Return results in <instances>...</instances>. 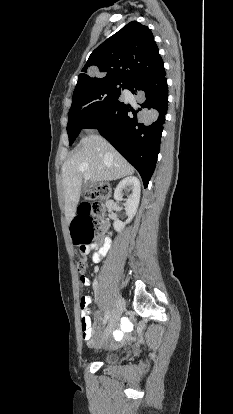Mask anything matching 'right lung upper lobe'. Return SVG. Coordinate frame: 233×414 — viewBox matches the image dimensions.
Returning <instances> with one entry per match:
<instances>
[{
	"mask_svg": "<svg viewBox=\"0 0 233 414\" xmlns=\"http://www.w3.org/2000/svg\"><path fill=\"white\" fill-rule=\"evenodd\" d=\"M93 67L98 68L95 71L100 77L87 74ZM163 69L152 32L147 26L132 21L92 52L82 69L84 73L78 76L73 94L105 81L129 83Z\"/></svg>",
	"mask_w": 233,
	"mask_h": 414,
	"instance_id": "right-lung-upper-lobe-1",
	"label": "right lung upper lobe"
}]
</instances>
